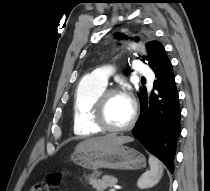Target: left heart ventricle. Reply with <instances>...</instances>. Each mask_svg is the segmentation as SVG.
Returning a JSON list of instances; mask_svg holds the SVG:
<instances>
[{"label":"left heart ventricle","mask_w":210,"mask_h":191,"mask_svg":"<svg viewBox=\"0 0 210 191\" xmlns=\"http://www.w3.org/2000/svg\"><path fill=\"white\" fill-rule=\"evenodd\" d=\"M132 114V104L122 94L111 96L106 104L105 116L111 127H122L126 125Z\"/></svg>","instance_id":"obj_1"}]
</instances>
